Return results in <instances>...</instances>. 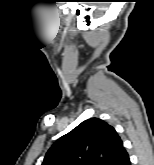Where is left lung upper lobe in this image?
I'll use <instances>...</instances> for the list:
<instances>
[{
	"label": "left lung upper lobe",
	"instance_id": "1",
	"mask_svg": "<svg viewBox=\"0 0 154 165\" xmlns=\"http://www.w3.org/2000/svg\"><path fill=\"white\" fill-rule=\"evenodd\" d=\"M122 149L115 129L101 119L91 118L59 138L42 165H116Z\"/></svg>",
	"mask_w": 154,
	"mask_h": 165
}]
</instances>
